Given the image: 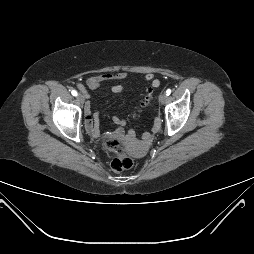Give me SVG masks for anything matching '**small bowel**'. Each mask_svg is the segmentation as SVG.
Returning a JSON list of instances; mask_svg holds the SVG:
<instances>
[{"label":"small bowel","instance_id":"obj_1","mask_svg":"<svg viewBox=\"0 0 254 254\" xmlns=\"http://www.w3.org/2000/svg\"><path fill=\"white\" fill-rule=\"evenodd\" d=\"M128 77V73L125 71L117 72V73H106V74H100L96 76H92L88 78L87 80V87L91 90H95L99 88L102 84L108 81H117V80H124ZM146 81L150 82L152 87H158L160 84V81L156 78L155 74L153 73H147L145 75ZM77 88L82 91L86 97L88 98L87 104L85 106V126L87 132L94 137L95 139L101 140L108 137H114V136H124V133L121 129V127L125 124L124 120L119 119L118 117H113V121L116 125L119 126V128L112 134L104 135L102 134V126L99 122V112H92L91 109V101L90 96L85 88V86L81 83L77 84ZM124 87L121 84H116L112 86L111 91L114 94L121 93L123 91ZM160 128V120L156 118L155 123L153 125V132H157ZM150 133H146L143 137V140L145 143H147L150 139ZM127 138L130 136L127 135Z\"/></svg>","mask_w":254,"mask_h":254}]
</instances>
